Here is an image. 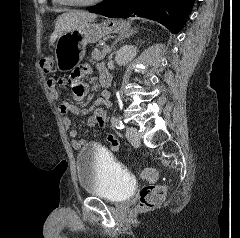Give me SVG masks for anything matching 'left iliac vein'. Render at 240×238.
Listing matches in <instances>:
<instances>
[{
	"mask_svg": "<svg viewBox=\"0 0 240 238\" xmlns=\"http://www.w3.org/2000/svg\"><path fill=\"white\" fill-rule=\"evenodd\" d=\"M125 133H126V138L132 145L138 146L140 144L141 141H140L139 133L135 127H127Z\"/></svg>",
	"mask_w": 240,
	"mask_h": 238,
	"instance_id": "left-iliac-vein-1",
	"label": "left iliac vein"
}]
</instances>
